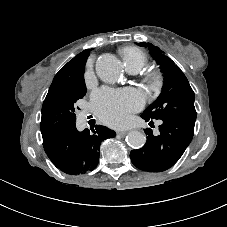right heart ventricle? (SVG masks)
<instances>
[{
    "label": "right heart ventricle",
    "instance_id": "right-heart-ventricle-1",
    "mask_svg": "<svg viewBox=\"0 0 227 227\" xmlns=\"http://www.w3.org/2000/svg\"><path fill=\"white\" fill-rule=\"evenodd\" d=\"M124 65L129 72H138L148 62L147 54L138 47L126 46L120 50Z\"/></svg>",
    "mask_w": 227,
    "mask_h": 227
}]
</instances>
